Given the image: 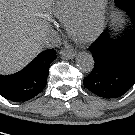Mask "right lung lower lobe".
<instances>
[{
	"instance_id": "right-lung-lower-lobe-1",
	"label": "right lung lower lobe",
	"mask_w": 135,
	"mask_h": 135,
	"mask_svg": "<svg viewBox=\"0 0 135 135\" xmlns=\"http://www.w3.org/2000/svg\"><path fill=\"white\" fill-rule=\"evenodd\" d=\"M55 59V51L48 49L22 71L0 75V95L13 102H25L34 98L45 88L49 66Z\"/></svg>"
}]
</instances>
